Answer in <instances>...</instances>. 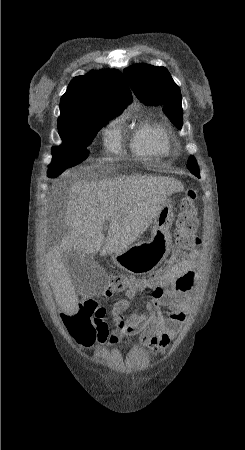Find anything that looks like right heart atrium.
<instances>
[{"mask_svg": "<svg viewBox=\"0 0 245 450\" xmlns=\"http://www.w3.org/2000/svg\"><path fill=\"white\" fill-rule=\"evenodd\" d=\"M104 143L111 152L118 153L121 151L122 139L117 121H112L104 132Z\"/></svg>", "mask_w": 245, "mask_h": 450, "instance_id": "right-heart-atrium-1", "label": "right heart atrium"}]
</instances>
